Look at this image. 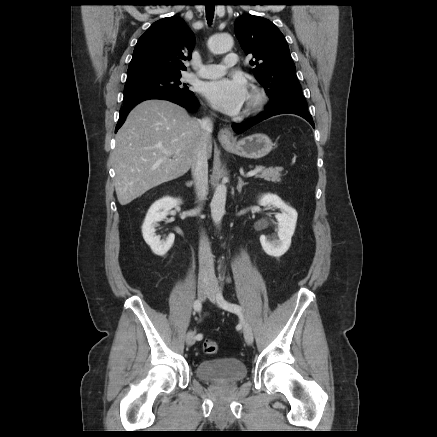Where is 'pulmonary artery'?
Wrapping results in <instances>:
<instances>
[{"instance_id":"obj_1","label":"pulmonary artery","mask_w":437,"mask_h":437,"mask_svg":"<svg viewBox=\"0 0 437 437\" xmlns=\"http://www.w3.org/2000/svg\"><path fill=\"white\" fill-rule=\"evenodd\" d=\"M237 64V55L228 53L222 64H203L196 73L198 77L205 79L218 78L225 74L228 68L234 67Z\"/></svg>"}]
</instances>
